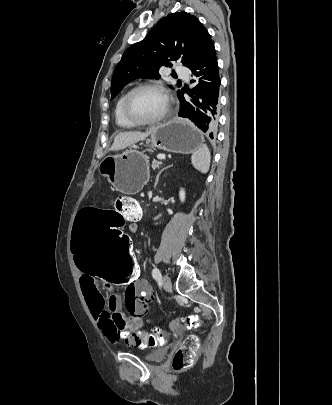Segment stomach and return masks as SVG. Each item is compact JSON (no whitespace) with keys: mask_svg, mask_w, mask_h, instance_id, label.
<instances>
[{"mask_svg":"<svg viewBox=\"0 0 332 405\" xmlns=\"http://www.w3.org/2000/svg\"><path fill=\"white\" fill-rule=\"evenodd\" d=\"M201 131L187 120H172L161 124L147 139L152 149L173 153H194L203 144ZM99 173L124 194L138 193L149 178L145 155L129 149L119 155L107 156L99 165Z\"/></svg>","mask_w":332,"mask_h":405,"instance_id":"1","label":"stomach"}]
</instances>
